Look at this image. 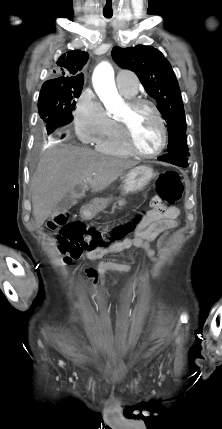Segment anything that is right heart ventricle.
Returning a JSON list of instances; mask_svg holds the SVG:
<instances>
[{
  "instance_id": "e07e8e85",
  "label": "right heart ventricle",
  "mask_w": 222,
  "mask_h": 429,
  "mask_svg": "<svg viewBox=\"0 0 222 429\" xmlns=\"http://www.w3.org/2000/svg\"><path fill=\"white\" fill-rule=\"evenodd\" d=\"M124 94V93H123ZM127 98H132L135 94H124ZM98 151L115 156H129L131 153L125 147L118 122L115 118H110V125L107 132L96 142Z\"/></svg>"
}]
</instances>
